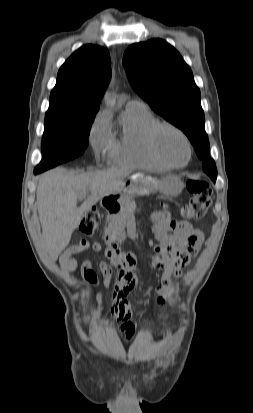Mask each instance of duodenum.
<instances>
[{
  "instance_id": "obj_1",
  "label": "duodenum",
  "mask_w": 253,
  "mask_h": 413,
  "mask_svg": "<svg viewBox=\"0 0 253 413\" xmlns=\"http://www.w3.org/2000/svg\"><path fill=\"white\" fill-rule=\"evenodd\" d=\"M102 206L106 210H108L112 213H114L115 210H116V205L114 203H112L111 201H109L108 199H104L102 201ZM105 237H106V240H107L108 244L111 247V250L114 253H116V251H117V233L114 230L108 229L105 232Z\"/></svg>"
}]
</instances>
